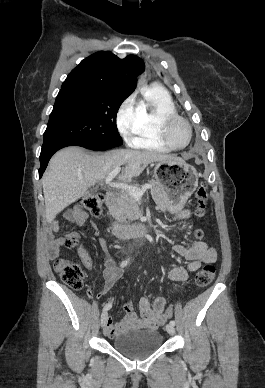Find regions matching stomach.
<instances>
[{"label":"stomach","mask_w":265,"mask_h":388,"mask_svg":"<svg viewBox=\"0 0 265 388\" xmlns=\"http://www.w3.org/2000/svg\"><path fill=\"white\" fill-rule=\"evenodd\" d=\"M154 177L170 199V211L180 210L198 187L196 169L185 161L163 160L154 167Z\"/></svg>","instance_id":"stomach-1"}]
</instances>
